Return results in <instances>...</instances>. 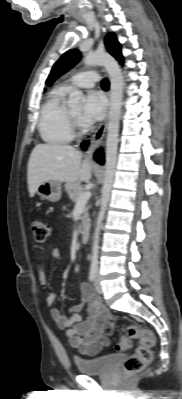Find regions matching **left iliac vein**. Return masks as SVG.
Here are the masks:
<instances>
[{
    "label": "left iliac vein",
    "mask_w": 182,
    "mask_h": 399,
    "mask_svg": "<svg viewBox=\"0 0 182 399\" xmlns=\"http://www.w3.org/2000/svg\"><path fill=\"white\" fill-rule=\"evenodd\" d=\"M95 290L97 293L101 294L102 293V287L100 284V277L99 274H97L96 280H95Z\"/></svg>",
    "instance_id": "1"
}]
</instances>
